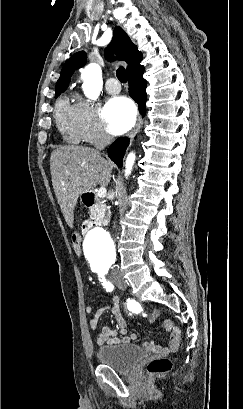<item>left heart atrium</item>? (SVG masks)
<instances>
[{
  "label": "left heart atrium",
  "instance_id": "39dd6f15",
  "mask_svg": "<svg viewBox=\"0 0 243 409\" xmlns=\"http://www.w3.org/2000/svg\"><path fill=\"white\" fill-rule=\"evenodd\" d=\"M106 129L113 135L127 132L135 123L136 107L123 96L111 98L101 112Z\"/></svg>",
  "mask_w": 243,
  "mask_h": 409
}]
</instances>
